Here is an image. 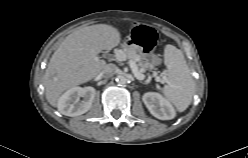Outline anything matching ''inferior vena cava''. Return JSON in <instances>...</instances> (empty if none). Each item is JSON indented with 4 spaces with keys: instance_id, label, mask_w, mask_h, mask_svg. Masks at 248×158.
<instances>
[{
    "instance_id": "inferior-vena-cava-1",
    "label": "inferior vena cava",
    "mask_w": 248,
    "mask_h": 158,
    "mask_svg": "<svg viewBox=\"0 0 248 158\" xmlns=\"http://www.w3.org/2000/svg\"><path fill=\"white\" fill-rule=\"evenodd\" d=\"M116 72V66L114 64H107L100 75L104 78L112 77Z\"/></svg>"
}]
</instances>
